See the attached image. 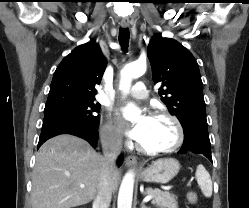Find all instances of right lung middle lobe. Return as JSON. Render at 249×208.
<instances>
[{
    "instance_id": "obj_1",
    "label": "right lung middle lobe",
    "mask_w": 249,
    "mask_h": 208,
    "mask_svg": "<svg viewBox=\"0 0 249 208\" xmlns=\"http://www.w3.org/2000/svg\"><path fill=\"white\" fill-rule=\"evenodd\" d=\"M100 108L101 105L94 103V100H86L45 107L44 113L45 117L71 119L84 124L95 125L100 119V116L95 115V113H98Z\"/></svg>"
}]
</instances>
